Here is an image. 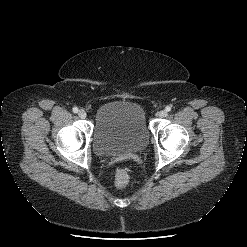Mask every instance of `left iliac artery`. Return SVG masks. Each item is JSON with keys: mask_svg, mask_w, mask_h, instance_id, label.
I'll list each match as a JSON object with an SVG mask.
<instances>
[{"mask_svg": "<svg viewBox=\"0 0 247 247\" xmlns=\"http://www.w3.org/2000/svg\"><path fill=\"white\" fill-rule=\"evenodd\" d=\"M166 111H167V112L171 111V107H170V106H167V107H166Z\"/></svg>", "mask_w": 247, "mask_h": 247, "instance_id": "obj_1", "label": "left iliac artery"}]
</instances>
